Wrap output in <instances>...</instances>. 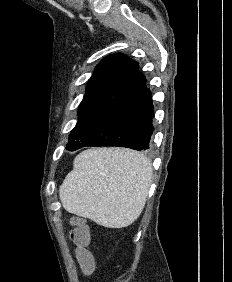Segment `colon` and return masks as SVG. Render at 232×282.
<instances>
[{
    "label": "colon",
    "instance_id": "obj_1",
    "mask_svg": "<svg viewBox=\"0 0 232 282\" xmlns=\"http://www.w3.org/2000/svg\"><path fill=\"white\" fill-rule=\"evenodd\" d=\"M73 229L70 232V240L78 248V258L83 264L86 271H91L93 267L92 257L86 250L89 244V230L84 220L81 218H74L72 220Z\"/></svg>",
    "mask_w": 232,
    "mask_h": 282
}]
</instances>
